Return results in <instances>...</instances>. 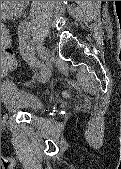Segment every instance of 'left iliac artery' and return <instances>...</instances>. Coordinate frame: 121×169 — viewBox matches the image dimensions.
<instances>
[{"label":"left iliac artery","mask_w":121,"mask_h":169,"mask_svg":"<svg viewBox=\"0 0 121 169\" xmlns=\"http://www.w3.org/2000/svg\"><path fill=\"white\" fill-rule=\"evenodd\" d=\"M30 24L25 23L22 26H19V31L17 34V39H24V35H27L29 32ZM19 51H21V58L24 59V61L27 62V64H31V68H37L34 69V74H41L42 70H44V65H42V61L40 59H37V56H34L35 49L33 46H27V42H19Z\"/></svg>","instance_id":"1"}]
</instances>
